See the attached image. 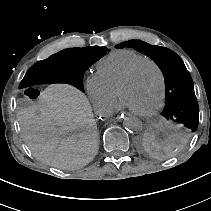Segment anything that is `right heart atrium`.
<instances>
[{
    "instance_id": "right-heart-atrium-1",
    "label": "right heart atrium",
    "mask_w": 211,
    "mask_h": 211,
    "mask_svg": "<svg viewBox=\"0 0 211 211\" xmlns=\"http://www.w3.org/2000/svg\"><path fill=\"white\" fill-rule=\"evenodd\" d=\"M85 87L98 112L105 113L113 106L114 95L97 74H93L86 80Z\"/></svg>"
}]
</instances>
